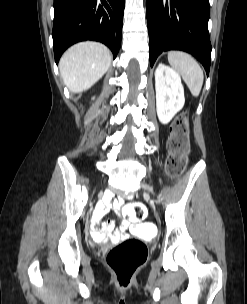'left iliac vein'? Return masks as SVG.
<instances>
[{"mask_svg": "<svg viewBox=\"0 0 247 304\" xmlns=\"http://www.w3.org/2000/svg\"><path fill=\"white\" fill-rule=\"evenodd\" d=\"M142 187L149 192H153V189L150 186H148L147 184H142Z\"/></svg>", "mask_w": 247, "mask_h": 304, "instance_id": "4c4485c4", "label": "left iliac vein"}]
</instances>
